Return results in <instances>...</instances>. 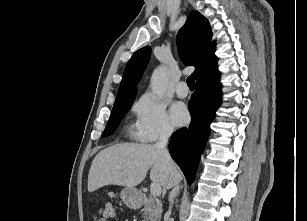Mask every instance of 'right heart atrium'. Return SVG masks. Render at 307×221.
<instances>
[{"label":"right heart atrium","mask_w":307,"mask_h":221,"mask_svg":"<svg viewBox=\"0 0 307 221\" xmlns=\"http://www.w3.org/2000/svg\"><path fill=\"white\" fill-rule=\"evenodd\" d=\"M136 114L135 137L142 142L166 139L174 133V127L165 105L151 93L142 95L134 106Z\"/></svg>","instance_id":"1"}]
</instances>
